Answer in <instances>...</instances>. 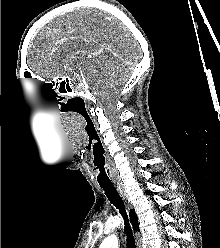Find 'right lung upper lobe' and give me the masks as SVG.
Instances as JSON below:
<instances>
[{"instance_id":"cb5924a9","label":"right lung upper lobe","mask_w":220,"mask_h":248,"mask_svg":"<svg viewBox=\"0 0 220 248\" xmlns=\"http://www.w3.org/2000/svg\"><path fill=\"white\" fill-rule=\"evenodd\" d=\"M129 215H130V218H131V222H132L133 229H134L135 231H139L138 218H137V216H136V214H135L134 209H131V210H130Z\"/></svg>"}]
</instances>
